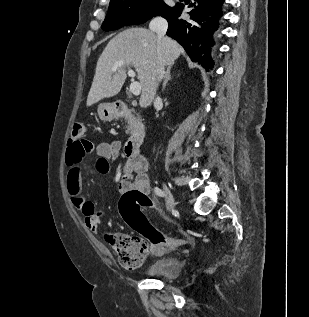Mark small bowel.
Listing matches in <instances>:
<instances>
[{"instance_id":"c3829d8e","label":"small bowel","mask_w":309,"mask_h":317,"mask_svg":"<svg viewBox=\"0 0 309 317\" xmlns=\"http://www.w3.org/2000/svg\"><path fill=\"white\" fill-rule=\"evenodd\" d=\"M89 141L82 143L78 151L82 154V158L73 163L67 164L66 187L73 206L79 210L84 216V225L92 233L97 234L101 223V212L95 204L85 199L83 195L81 162L84 157L91 153L88 150ZM92 144V143H91ZM122 151V144L118 140L109 142H101L95 146L97 158L94 163L95 170L100 174L109 172L110 163L117 160ZM148 163L144 156L137 155L128 157L122 169V176L118 182V190L124 194L128 191L136 190L146 195L150 193V182L147 175ZM157 205V204H156ZM158 212L163 213L162 209L157 205ZM165 248L154 247L153 252L157 255L163 253Z\"/></svg>"}]
</instances>
